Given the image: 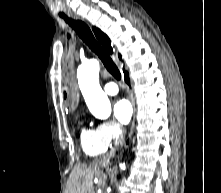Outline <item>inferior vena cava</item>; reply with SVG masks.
I'll return each instance as SVG.
<instances>
[{"instance_id":"obj_1","label":"inferior vena cava","mask_w":221,"mask_h":193,"mask_svg":"<svg viewBox=\"0 0 221 193\" xmlns=\"http://www.w3.org/2000/svg\"><path fill=\"white\" fill-rule=\"evenodd\" d=\"M123 134H124V132H123V130H121L119 139H122V138H123Z\"/></svg>"}]
</instances>
